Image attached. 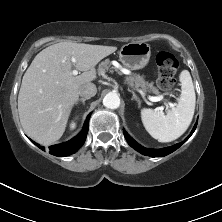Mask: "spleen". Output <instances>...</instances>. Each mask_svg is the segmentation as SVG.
<instances>
[{
    "mask_svg": "<svg viewBox=\"0 0 222 222\" xmlns=\"http://www.w3.org/2000/svg\"><path fill=\"white\" fill-rule=\"evenodd\" d=\"M181 94L177 106L166 115L156 109L143 108L141 120L147 132L159 142H171L185 133L193 119L196 96L190 73H180Z\"/></svg>",
    "mask_w": 222,
    "mask_h": 222,
    "instance_id": "1",
    "label": "spleen"
}]
</instances>
